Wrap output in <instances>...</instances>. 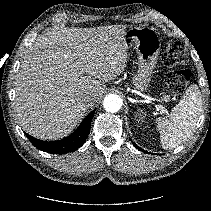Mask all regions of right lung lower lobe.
I'll return each instance as SVG.
<instances>
[{
	"instance_id": "obj_1",
	"label": "right lung lower lobe",
	"mask_w": 211,
	"mask_h": 211,
	"mask_svg": "<svg viewBox=\"0 0 211 211\" xmlns=\"http://www.w3.org/2000/svg\"><path fill=\"white\" fill-rule=\"evenodd\" d=\"M94 113L95 110L89 113L82 121L80 126L70 136L62 140L46 142L38 140L28 134H26V136L37 149L48 152L50 154H64L68 152H74L86 141Z\"/></svg>"
}]
</instances>
